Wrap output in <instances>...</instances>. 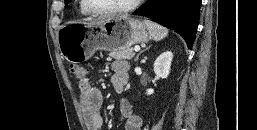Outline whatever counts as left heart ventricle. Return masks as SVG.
Returning <instances> with one entry per match:
<instances>
[{"label": "left heart ventricle", "instance_id": "obj_1", "mask_svg": "<svg viewBox=\"0 0 257 130\" xmlns=\"http://www.w3.org/2000/svg\"><path fill=\"white\" fill-rule=\"evenodd\" d=\"M132 0H88L89 4L97 10H106L122 7L129 4Z\"/></svg>", "mask_w": 257, "mask_h": 130}]
</instances>
